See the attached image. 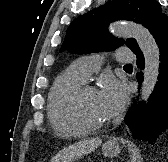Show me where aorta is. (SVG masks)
Listing matches in <instances>:
<instances>
[{
  "label": "aorta",
  "mask_w": 168,
  "mask_h": 162,
  "mask_svg": "<svg viewBox=\"0 0 168 162\" xmlns=\"http://www.w3.org/2000/svg\"><path fill=\"white\" fill-rule=\"evenodd\" d=\"M112 31L120 37H133L145 59L143 71V84L141 88V100L146 101L154 90L159 75V48L151 33L140 24L133 22H117Z\"/></svg>",
  "instance_id": "obj_1"
}]
</instances>
